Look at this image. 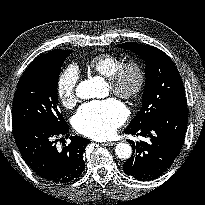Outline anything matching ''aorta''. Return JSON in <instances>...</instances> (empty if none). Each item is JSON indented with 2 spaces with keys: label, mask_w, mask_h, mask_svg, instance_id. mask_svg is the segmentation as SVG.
<instances>
[{
  "label": "aorta",
  "mask_w": 205,
  "mask_h": 205,
  "mask_svg": "<svg viewBox=\"0 0 205 205\" xmlns=\"http://www.w3.org/2000/svg\"><path fill=\"white\" fill-rule=\"evenodd\" d=\"M104 89V81L99 77H94L78 84L76 96L80 99H90L100 96ZM115 154L120 159H128L132 155V148L128 143L119 142L115 147Z\"/></svg>",
  "instance_id": "1"
}]
</instances>
